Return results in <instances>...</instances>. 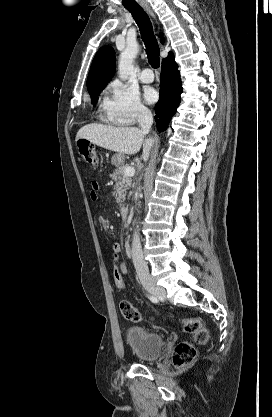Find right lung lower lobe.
I'll list each match as a JSON object with an SVG mask.
<instances>
[{"label": "right lung lower lobe", "instance_id": "1", "mask_svg": "<svg viewBox=\"0 0 272 417\" xmlns=\"http://www.w3.org/2000/svg\"><path fill=\"white\" fill-rule=\"evenodd\" d=\"M161 88L159 93V101L155 106L158 130L167 129L170 119L175 114L180 103V95L182 93V83L178 71V65L174 60L172 53L162 61L161 71Z\"/></svg>", "mask_w": 272, "mask_h": 417}]
</instances>
